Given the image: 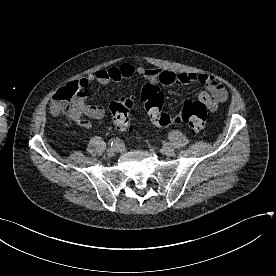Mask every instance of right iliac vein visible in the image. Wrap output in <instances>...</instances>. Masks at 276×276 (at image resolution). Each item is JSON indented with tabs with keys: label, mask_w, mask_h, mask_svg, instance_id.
Instances as JSON below:
<instances>
[{
	"label": "right iliac vein",
	"mask_w": 276,
	"mask_h": 276,
	"mask_svg": "<svg viewBox=\"0 0 276 276\" xmlns=\"http://www.w3.org/2000/svg\"><path fill=\"white\" fill-rule=\"evenodd\" d=\"M120 151H122V147H112V148H109V149L107 150V154H108L109 156H111V155H113L115 152H120Z\"/></svg>",
	"instance_id": "right-iliac-vein-1"
}]
</instances>
